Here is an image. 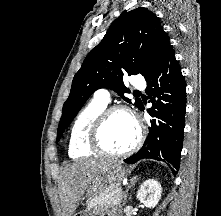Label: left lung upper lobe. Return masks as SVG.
<instances>
[{
    "instance_id": "5c2ea615",
    "label": "left lung upper lobe",
    "mask_w": 221,
    "mask_h": 216,
    "mask_svg": "<svg viewBox=\"0 0 221 216\" xmlns=\"http://www.w3.org/2000/svg\"><path fill=\"white\" fill-rule=\"evenodd\" d=\"M167 42L169 38L159 18L150 10L139 7L118 17L75 74L63 105L56 141L96 90L113 89L130 103L124 97L129 90L123 76L139 73L145 76ZM135 105L140 108L142 102L136 99Z\"/></svg>"
}]
</instances>
